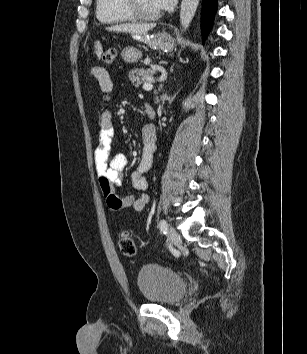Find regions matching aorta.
<instances>
[{"mask_svg":"<svg viewBox=\"0 0 307 354\" xmlns=\"http://www.w3.org/2000/svg\"><path fill=\"white\" fill-rule=\"evenodd\" d=\"M199 0H182L180 8V23L183 31H186L195 15Z\"/></svg>","mask_w":307,"mask_h":354,"instance_id":"obj_1","label":"aorta"}]
</instances>
